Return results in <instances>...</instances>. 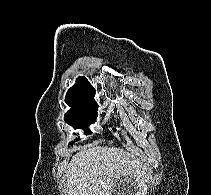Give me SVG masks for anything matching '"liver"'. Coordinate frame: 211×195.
Masks as SVG:
<instances>
[{
	"mask_svg": "<svg viewBox=\"0 0 211 195\" xmlns=\"http://www.w3.org/2000/svg\"><path fill=\"white\" fill-rule=\"evenodd\" d=\"M65 177L66 195H112L124 177L137 185L127 195H146L150 175L142 159L122 148L88 146L72 157Z\"/></svg>",
	"mask_w": 211,
	"mask_h": 195,
	"instance_id": "obj_1",
	"label": "liver"
}]
</instances>
